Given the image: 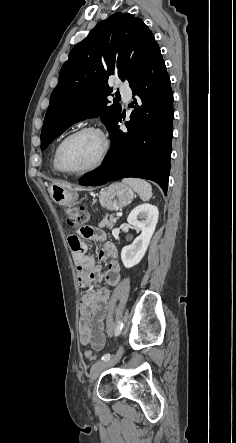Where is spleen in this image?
I'll return each instance as SVG.
<instances>
[{"label": "spleen", "instance_id": "1", "mask_svg": "<svg viewBox=\"0 0 236 443\" xmlns=\"http://www.w3.org/2000/svg\"><path fill=\"white\" fill-rule=\"evenodd\" d=\"M122 183L129 185L143 201H148L152 197V187L143 179L124 178Z\"/></svg>", "mask_w": 236, "mask_h": 443}]
</instances>
